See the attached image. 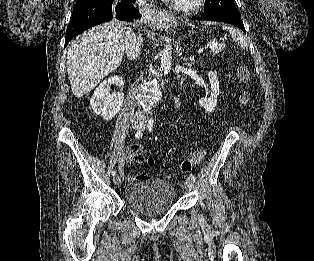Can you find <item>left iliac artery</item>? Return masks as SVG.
Returning <instances> with one entry per match:
<instances>
[{
    "label": "left iliac artery",
    "instance_id": "left-iliac-artery-1",
    "mask_svg": "<svg viewBox=\"0 0 314 261\" xmlns=\"http://www.w3.org/2000/svg\"><path fill=\"white\" fill-rule=\"evenodd\" d=\"M153 123H154V121L152 120V119H150L149 120V122H148V125H147V127H148V130L150 131V132H152V130H153ZM190 179L193 181V182H195V176L193 175V174H190Z\"/></svg>",
    "mask_w": 314,
    "mask_h": 261
}]
</instances>
